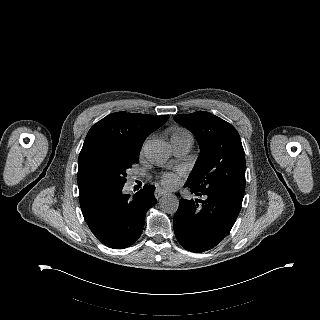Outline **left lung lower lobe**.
<instances>
[{
    "label": "left lung lower lobe",
    "mask_w": 320,
    "mask_h": 320,
    "mask_svg": "<svg viewBox=\"0 0 320 320\" xmlns=\"http://www.w3.org/2000/svg\"><path fill=\"white\" fill-rule=\"evenodd\" d=\"M192 192L204 200H181L173 226L179 243L189 251L200 253L212 249L229 234L240 212L244 192L229 187Z\"/></svg>",
    "instance_id": "left-lung-lower-lobe-1"
}]
</instances>
